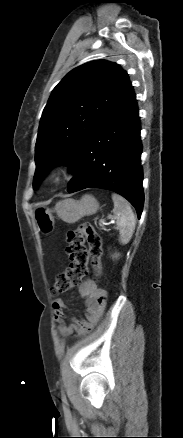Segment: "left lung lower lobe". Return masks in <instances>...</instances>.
Here are the masks:
<instances>
[{"mask_svg":"<svg viewBox=\"0 0 183 438\" xmlns=\"http://www.w3.org/2000/svg\"><path fill=\"white\" fill-rule=\"evenodd\" d=\"M141 152L140 121L132 91L68 162L74 176L67 191L85 188L114 191L135 207L140 218L144 201Z\"/></svg>","mask_w":183,"mask_h":438,"instance_id":"1","label":"left lung lower lobe"}]
</instances>
